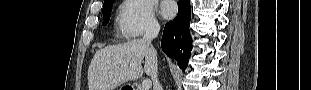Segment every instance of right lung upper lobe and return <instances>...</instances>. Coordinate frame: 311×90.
<instances>
[{
	"label": "right lung upper lobe",
	"mask_w": 311,
	"mask_h": 90,
	"mask_svg": "<svg viewBox=\"0 0 311 90\" xmlns=\"http://www.w3.org/2000/svg\"><path fill=\"white\" fill-rule=\"evenodd\" d=\"M110 1H111V0H105V1H104V4H106V3L110 2Z\"/></svg>",
	"instance_id": "1"
}]
</instances>
